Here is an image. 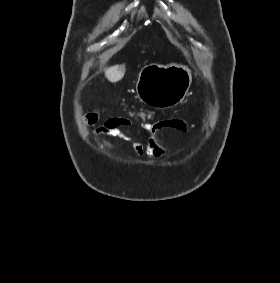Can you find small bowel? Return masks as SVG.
<instances>
[{"label": "small bowel", "instance_id": "1", "mask_svg": "<svg viewBox=\"0 0 280 283\" xmlns=\"http://www.w3.org/2000/svg\"><path fill=\"white\" fill-rule=\"evenodd\" d=\"M98 116L95 112L86 115L84 122L88 125L95 124ZM131 121L128 119H113L105 122L96 132L95 136L119 137L132 145L139 156L160 158L167 155L164 147L158 141V133L163 129H175L186 132L188 124L179 118H167L153 124L144 125L146 141L141 142L129 129Z\"/></svg>", "mask_w": 280, "mask_h": 283}]
</instances>
